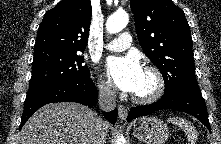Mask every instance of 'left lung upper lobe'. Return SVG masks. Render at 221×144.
<instances>
[{"instance_id": "1", "label": "left lung upper lobe", "mask_w": 221, "mask_h": 144, "mask_svg": "<svg viewBox=\"0 0 221 144\" xmlns=\"http://www.w3.org/2000/svg\"><path fill=\"white\" fill-rule=\"evenodd\" d=\"M130 5L139 43L164 78V94L175 91L201 94L184 12L171 0H130Z\"/></svg>"}]
</instances>
